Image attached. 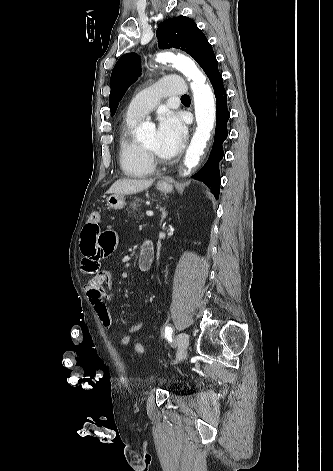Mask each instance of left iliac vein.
Masks as SVG:
<instances>
[{
	"mask_svg": "<svg viewBox=\"0 0 333 471\" xmlns=\"http://www.w3.org/2000/svg\"><path fill=\"white\" fill-rule=\"evenodd\" d=\"M189 337L186 333H179L176 337L177 360L182 361L187 355Z\"/></svg>",
	"mask_w": 333,
	"mask_h": 471,
	"instance_id": "1",
	"label": "left iliac vein"
}]
</instances>
